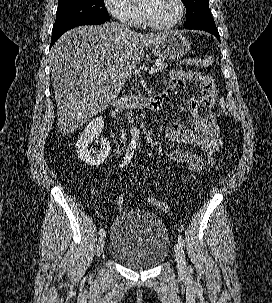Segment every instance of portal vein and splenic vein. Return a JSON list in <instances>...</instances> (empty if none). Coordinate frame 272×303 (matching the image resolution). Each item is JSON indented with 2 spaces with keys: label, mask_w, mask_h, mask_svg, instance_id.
Wrapping results in <instances>:
<instances>
[{
  "label": "portal vein and splenic vein",
  "mask_w": 272,
  "mask_h": 303,
  "mask_svg": "<svg viewBox=\"0 0 272 303\" xmlns=\"http://www.w3.org/2000/svg\"><path fill=\"white\" fill-rule=\"evenodd\" d=\"M155 68H151L150 70H149V74H154L155 73ZM102 80H106V77H102L101 78Z\"/></svg>",
  "instance_id": "1"
}]
</instances>
